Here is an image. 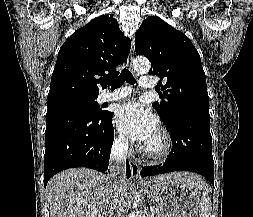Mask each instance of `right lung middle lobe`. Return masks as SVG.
I'll list each match as a JSON object with an SVG mask.
<instances>
[{
    "instance_id": "right-lung-middle-lobe-1",
    "label": "right lung middle lobe",
    "mask_w": 253,
    "mask_h": 217,
    "mask_svg": "<svg viewBox=\"0 0 253 217\" xmlns=\"http://www.w3.org/2000/svg\"><path fill=\"white\" fill-rule=\"evenodd\" d=\"M96 98L97 97H71L48 102L46 118L68 111H83L100 115L105 111L100 109Z\"/></svg>"
}]
</instances>
